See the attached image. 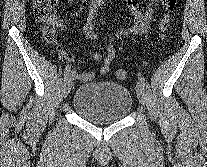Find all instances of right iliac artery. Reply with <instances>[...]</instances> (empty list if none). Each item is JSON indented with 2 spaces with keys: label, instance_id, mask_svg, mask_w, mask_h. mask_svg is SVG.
<instances>
[{
  "label": "right iliac artery",
  "instance_id": "right-iliac-artery-1",
  "mask_svg": "<svg viewBox=\"0 0 207 167\" xmlns=\"http://www.w3.org/2000/svg\"><path fill=\"white\" fill-rule=\"evenodd\" d=\"M71 66L68 64L64 70V79H66L70 73Z\"/></svg>",
  "mask_w": 207,
  "mask_h": 167
}]
</instances>
